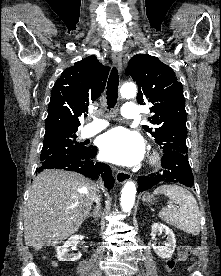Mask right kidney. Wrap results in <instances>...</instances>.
Wrapping results in <instances>:
<instances>
[{
	"label": "right kidney",
	"mask_w": 221,
	"mask_h": 276,
	"mask_svg": "<svg viewBox=\"0 0 221 276\" xmlns=\"http://www.w3.org/2000/svg\"><path fill=\"white\" fill-rule=\"evenodd\" d=\"M79 239L81 237L79 235H74L70 237L63 246H58L56 251H57V259L59 261H77L81 258V253H77L74 255H69V248L71 246H76L78 244Z\"/></svg>",
	"instance_id": "right-kidney-1"
}]
</instances>
